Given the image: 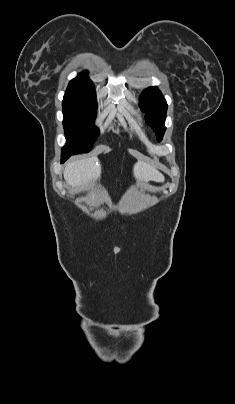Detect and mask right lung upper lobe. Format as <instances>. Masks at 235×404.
Returning <instances> with one entry per match:
<instances>
[{"mask_svg":"<svg viewBox=\"0 0 235 404\" xmlns=\"http://www.w3.org/2000/svg\"><path fill=\"white\" fill-rule=\"evenodd\" d=\"M64 100L75 102H96L94 85L85 74H80L75 79L71 80Z\"/></svg>","mask_w":235,"mask_h":404,"instance_id":"right-lung-upper-lobe-1","label":"right lung upper lobe"}]
</instances>
